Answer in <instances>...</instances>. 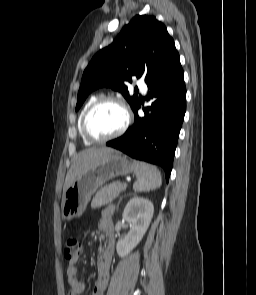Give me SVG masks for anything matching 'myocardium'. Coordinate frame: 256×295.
I'll use <instances>...</instances> for the list:
<instances>
[{
    "instance_id": "obj_1",
    "label": "myocardium",
    "mask_w": 256,
    "mask_h": 295,
    "mask_svg": "<svg viewBox=\"0 0 256 295\" xmlns=\"http://www.w3.org/2000/svg\"><path fill=\"white\" fill-rule=\"evenodd\" d=\"M114 103L117 106H119L121 108V110L124 113V123L121 126V128L119 130H117L115 133L106 136V137H96L94 136L88 129V119L89 116L91 114V112L98 107L99 105L103 104V103ZM130 121H131V115L130 112L128 110V108L126 107V105L124 104L123 101H121L119 98H116L114 96H101L98 97L96 100H94L89 107L86 109L83 118H82V132L84 134V136L91 142L93 143H105L108 142L110 140H113L115 138H118L119 136H121L129 127L130 125Z\"/></svg>"
}]
</instances>
